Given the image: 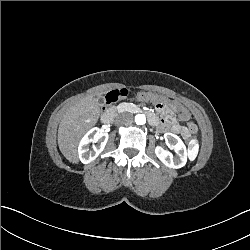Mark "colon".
<instances>
[{"instance_id": "obj_1", "label": "colon", "mask_w": 250, "mask_h": 250, "mask_svg": "<svg viewBox=\"0 0 250 250\" xmlns=\"http://www.w3.org/2000/svg\"><path fill=\"white\" fill-rule=\"evenodd\" d=\"M128 93L129 91L126 88L112 90L105 97L106 103L111 104L119 100L125 99L128 96ZM139 97L143 98L144 96L140 95ZM187 141L189 144H194L196 141V138L193 135H190L187 138Z\"/></svg>"}]
</instances>
